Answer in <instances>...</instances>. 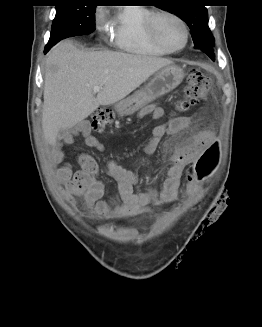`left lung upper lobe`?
I'll use <instances>...</instances> for the list:
<instances>
[{"label": "left lung upper lobe", "instance_id": "obj_1", "mask_svg": "<svg viewBox=\"0 0 262 327\" xmlns=\"http://www.w3.org/2000/svg\"><path fill=\"white\" fill-rule=\"evenodd\" d=\"M196 3H198L196 0H164L158 7L176 14L188 24L194 46L200 50L213 47L214 37L208 26L207 9Z\"/></svg>", "mask_w": 262, "mask_h": 327}]
</instances>
